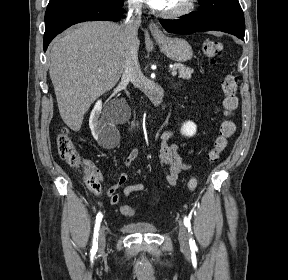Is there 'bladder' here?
<instances>
[{
    "mask_svg": "<svg viewBox=\"0 0 288 280\" xmlns=\"http://www.w3.org/2000/svg\"><path fill=\"white\" fill-rule=\"evenodd\" d=\"M129 233H155L157 226L151 222H129L122 226Z\"/></svg>",
    "mask_w": 288,
    "mask_h": 280,
    "instance_id": "bladder-1",
    "label": "bladder"
}]
</instances>
